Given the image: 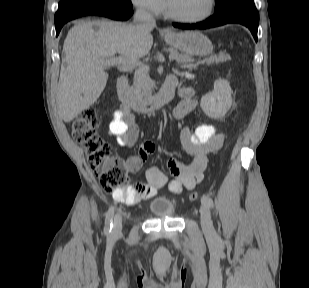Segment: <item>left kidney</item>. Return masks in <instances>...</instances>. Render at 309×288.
<instances>
[{
	"label": "left kidney",
	"instance_id": "left-kidney-1",
	"mask_svg": "<svg viewBox=\"0 0 309 288\" xmlns=\"http://www.w3.org/2000/svg\"><path fill=\"white\" fill-rule=\"evenodd\" d=\"M231 94L229 82L218 79L214 82V89L202 97L200 106L209 117L223 118L232 105Z\"/></svg>",
	"mask_w": 309,
	"mask_h": 288
}]
</instances>
